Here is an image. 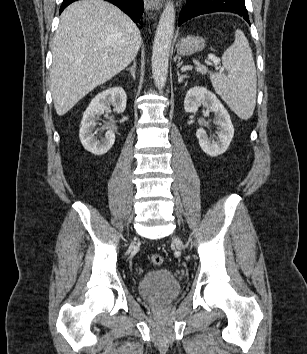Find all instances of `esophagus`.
<instances>
[{
  "label": "esophagus",
  "mask_w": 307,
  "mask_h": 354,
  "mask_svg": "<svg viewBox=\"0 0 307 354\" xmlns=\"http://www.w3.org/2000/svg\"><path fill=\"white\" fill-rule=\"evenodd\" d=\"M144 6L147 11H157L162 8V3L160 0H144Z\"/></svg>",
  "instance_id": "1"
}]
</instances>
